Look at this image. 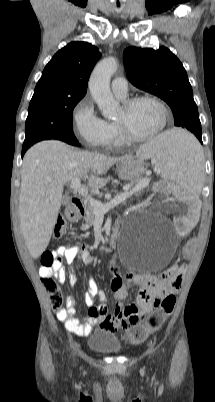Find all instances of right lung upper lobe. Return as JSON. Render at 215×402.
Segmentation results:
<instances>
[{"label": "right lung upper lobe", "instance_id": "1", "mask_svg": "<svg viewBox=\"0 0 215 402\" xmlns=\"http://www.w3.org/2000/svg\"><path fill=\"white\" fill-rule=\"evenodd\" d=\"M100 58L97 47L76 41L59 50L46 65L34 95L83 98L90 73Z\"/></svg>", "mask_w": 215, "mask_h": 402}]
</instances>
